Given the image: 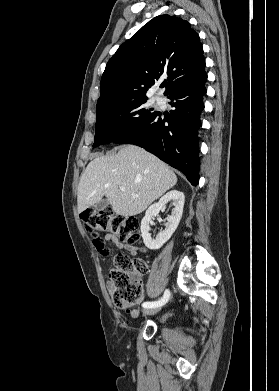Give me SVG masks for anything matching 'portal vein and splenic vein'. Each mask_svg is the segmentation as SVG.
Listing matches in <instances>:
<instances>
[{
    "label": "portal vein and splenic vein",
    "mask_w": 279,
    "mask_h": 391,
    "mask_svg": "<svg viewBox=\"0 0 279 391\" xmlns=\"http://www.w3.org/2000/svg\"><path fill=\"white\" fill-rule=\"evenodd\" d=\"M120 190L121 191H125V188L124 187H120ZM134 197H137V195H133Z\"/></svg>",
    "instance_id": "obj_1"
}]
</instances>
